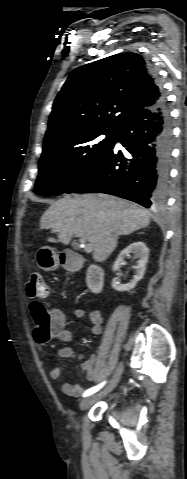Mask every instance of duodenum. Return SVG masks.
<instances>
[{"instance_id":"410a0bca","label":"duodenum","mask_w":187,"mask_h":479,"mask_svg":"<svg viewBox=\"0 0 187 479\" xmlns=\"http://www.w3.org/2000/svg\"><path fill=\"white\" fill-rule=\"evenodd\" d=\"M63 263L68 270H76L80 267L81 261L73 256H65ZM87 287L93 293H99L104 286V271L99 265L89 267L86 279Z\"/></svg>"}]
</instances>
